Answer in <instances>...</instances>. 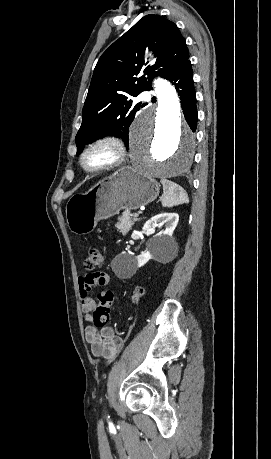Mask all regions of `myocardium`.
I'll list each match as a JSON object with an SVG mask.
<instances>
[{
	"label": "myocardium",
	"mask_w": 271,
	"mask_h": 459,
	"mask_svg": "<svg viewBox=\"0 0 271 459\" xmlns=\"http://www.w3.org/2000/svg\"><path fill=\"white\" fill-rule=\"evenodd\" d=\"M100 143H109L114 148V154L109 160L95 166L88 168L86 167L84 161L88 152L97 144ZM126 158V146L120 135L114 132H103L100 133L91 139H89L84 146L82 147L78 155V166L85 174H95L110 168L119 166L124 162Z\"/></svg>",
	"instance_id": "obj_1"
}]
</instances>
